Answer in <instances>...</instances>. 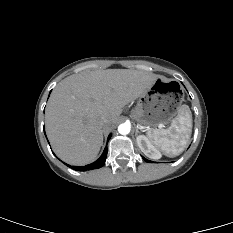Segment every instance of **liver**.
<instances>
[{
  "mask_svg": "<svg viewBox=\"0 0 233 233\" xmlns=\"http://www.w3.org/2000/svg\"><path fill=\"white\" fill-rule=\"evenodd\" d=\"M157 76L131 69L74 74L53 90L45 113L48 139L55 153L71 165L93 162L103 143L99 125L117 123L122 108L140 97Z\"/></svg>",
  "mask_w": 233,
  "mask_h": 233,
  "instance_id": "6515ba94",
  "label": "liver"
}]
</instances>
